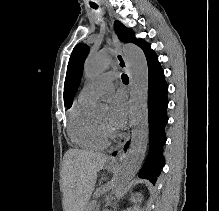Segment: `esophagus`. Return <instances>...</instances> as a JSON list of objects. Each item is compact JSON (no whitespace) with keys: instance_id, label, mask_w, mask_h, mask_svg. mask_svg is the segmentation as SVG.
I'll return each instance as SVG.
<instances>
[{"instance_id":"esophagus-1","label":"esophagus","mask_w":219,"mask_h":211,"mask_svg":"<svg viewBox=\"0 0 219 211\" xmlns=\"http://www.w3.org/2000/svg\"><path fill=\"white\" fill-rule=\"evenodd\" d=\"M113 46L115 49V59L118 63V66L129 74V63L122 53L121 42L118 40L117 36L114 33H113ZM123 158H124V152L122 150H119L117 156L116 157L111 156L109 158V161L114 164H120Z\"/></svg>"}]
</instances>
